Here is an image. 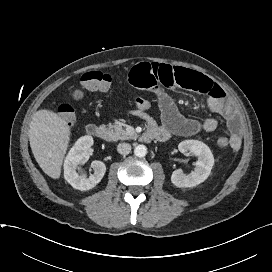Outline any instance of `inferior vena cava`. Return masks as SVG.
<instances>
[{
    "mask_svg": "<svg viewBox=\"0 0 272 272\" xmlns=\"http://www.w3.org/2000/svg\"><path fill=\"white\" fill-rule=\"evenodd\" d=\"M117 151L121 155H127L131 152V145L128 143H119L117 146Z\"/></svg>",
    "mask_w": 272,
    "mask_h": 272,
    "instance_id": "602c4592",
    "label": "inferior vena cava"
}]
</instances>
